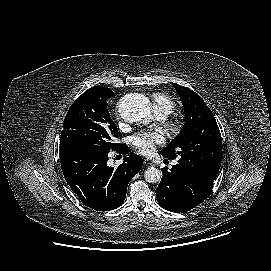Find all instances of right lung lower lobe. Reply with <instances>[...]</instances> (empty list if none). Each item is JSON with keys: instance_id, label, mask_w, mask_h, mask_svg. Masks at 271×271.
<instances>
[{"instance_id": "98d812e1", "label": "right lung lower lobe", "mask_w": 271, "mask_h": 271, "mask_svg": "<svg viewBox=\"0 0 271 271\" xmlns=\"http://www.w3.org/2000/svg\"><path fill=\"white\" fill-rule=\"evenodd\" d=\"M128 154L125 144L115 149ZM109 151L60 146V161L64 177L83 204L97 210L109 211L124 202L129 181L140 171L142 160L138 155L124 158L117 168L107 165Z\"/></svg>"}]
</instances>
